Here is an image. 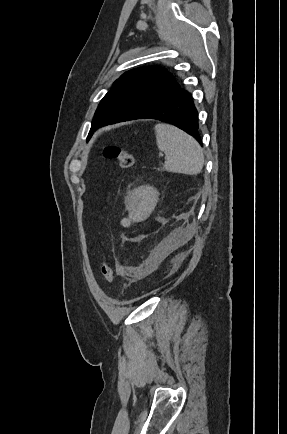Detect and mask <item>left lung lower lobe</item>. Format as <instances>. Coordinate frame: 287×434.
Returning <instances> with one entry per match:
<instances>
[{
	"label": "left lung lower lobe",
	"instance_id": "left-lung-lower-lobe-1",
	"mask_svg": "<svg viewBox=\"0 0 287 434\" xmlns=\"http://www.w3.org/2000/svg\"><path fill=\"white\" fill-rule=\"evenodd\" d=\"M143 118L157 119L175 125L202 145L197 110L191 95L181 87L162 100L140 109L129 120Z\"/></svg>",
	"mask_w": 287,
	"mask_h": 434
}]
</instances>
